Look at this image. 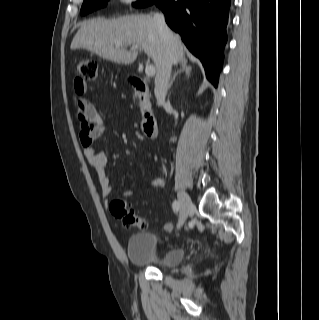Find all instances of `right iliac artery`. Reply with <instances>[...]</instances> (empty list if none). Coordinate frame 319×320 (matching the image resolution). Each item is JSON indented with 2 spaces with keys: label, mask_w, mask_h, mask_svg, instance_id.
<instances>
[{
  "label": "right iliac artery",
  "mask_w": 319,
  "mask_h": 320,
  "mask_svg": "<svg viewBox=\"0 0 319 320\" xmlns=\"http://www.w3.org/2000/svg\"><path fill=\"white\" fill-rule=\"evenodd\" d=\"M172 209L174 212H178L180 210V203L179 201L175 200L173 203H172Z\"/></svg>",
  "instance_id": "82829eb1"
}]
</instances>
